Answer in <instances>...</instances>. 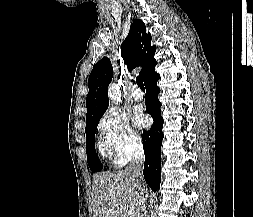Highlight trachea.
<instances>
[{"label":"trachea","mask_w":253,"mask_h":217,"mask_svg":"<svg viewBox=\"0 0 253 217\" xmlns=\"http://www.w3.org/2000/svg\"><path fill=\"white\" fill-rule=\"evenodd\" d=\"M136 83L140 87L141 90H145V87H144V84H143V80L141 79L140 76H137Z\"/></svg>","instance_id":"1"}]
</instances>
